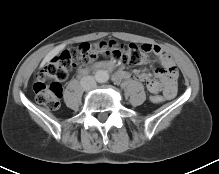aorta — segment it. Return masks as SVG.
I'll use <instances>...</instances> for the list:
<instances>
[{
	"label": "aorta",
	"mask_w": 219,
	"mask_h": 174,
	"mask_svg": "<svg viewBox=\"0 0 219 174\" xmlns=\"http://www.w3.org/2000/svg\"><path fill=\"white\" fill-rule=\"evenodd\" d=\"M95 78L99 83H105L109 80V73L106 70H98L95 74Z\"/></svg>",
	"instance_id": "obj_1"
}]
</instances>
